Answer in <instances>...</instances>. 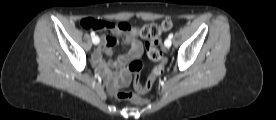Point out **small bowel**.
Instances as JSON below:
<instances>
[{"mask_svg": "<svg viewBox=\"0 0 276 120\" xmlns=\"http://www.w3.org/2000/svg\"><path fill=\"white\" fill-rule=\"evenodd\" d=\"M102 28L110 32L109 35L103 36L102 44L93 56L94 65L100 70L106 82L109 93L115 94L118 89L125 86L129 82L128 75L122 70H111L103 59V54H111L112 50L117 46L116 37L125 35V44L128 47L126 54L119 55L113 62L112 66L123 68L130 59H136L142 54V45L138 39L137 31L132 29L127 23L113 24L107 21H101Z\"/></svg>", "mask_w": 276, "mask_h": 120, "instance_id": "obj_1", "label": "small bowel"}]
</instances>
